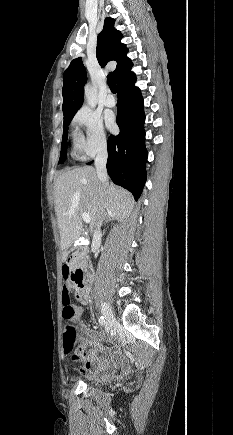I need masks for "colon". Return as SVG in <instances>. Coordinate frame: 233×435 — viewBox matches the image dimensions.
<instances>
[{
	"label": "colon",
	"instance_id": "obj_1",
	"mask_svg": "<svg viewBox=\"0 0 233 435\" xmlns=\"http://www.w3.org/2000/svg\"><path fill=\"white\" fill-rule=\"evenodd\" d=\"M63 281L65 284H75L78 282V278L68 266H65L63 269ZM63 304L62 317L65 321L62 332L63 349L66 353L72 354L73 359H78L81 354L80 351L76 349L78 335L75 319L79 314V310L71 303L69 297L63 298Z\"/></svg>",
	"mask_w": 233,
	"mask_h": 435
}]
</instances>
